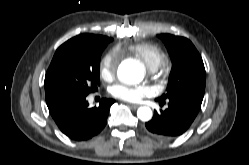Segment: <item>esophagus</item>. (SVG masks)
<instances>
[{
  "label": "esophagus",
  "instance_id": "34e87169",
  "mask_svg": "<svg viewBox=\"0 0 249 165\" xmlns=\"http://www.w3.org/2000/svg\"><path fill=\"white\" fill-rule=\"evenodd\" d=\"M129 106L133 109H137L139 107L138 104H131V103L129 104Z\"/></svg>",
  "mask_w": 249,
  "mask_h": 165
}]
</instances>
